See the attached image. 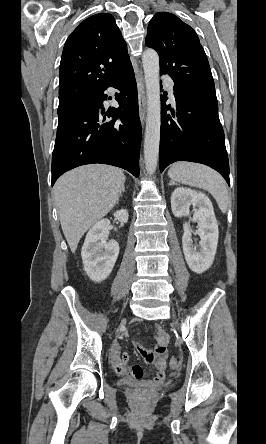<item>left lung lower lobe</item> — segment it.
I'll use <instances>...</instances> for the list:
<instances>
[{
  "label": "left lung lower lobe",
  "instance_id": "left-lung-lower-lobe-1",
  "mask_svg": "<svg viewBox=\"0 0 266 444\" xmlns=\"http://www.w3.org/2000/svg\"><path fill=\"white\" fill-rule=\"evenodd\" d=\"M162 88V85H161ZM176 110L161 97L160 172L175 161L208 165L230 184L224 132L218 116L215 87L175 84Z\"/></svg>",
  "mask_w": 266,
  "mask_h": 444
}]
</instances>
